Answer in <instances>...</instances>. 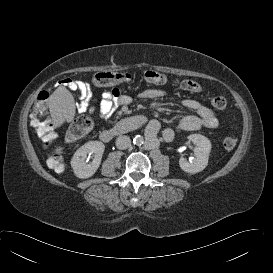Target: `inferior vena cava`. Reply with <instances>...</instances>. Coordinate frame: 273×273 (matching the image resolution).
Instances as JSON below:
<instances>
[{
  "label": "inferior vena cava",
  "instance_id": "602c4592",
  "mask_svg": "<svg viewBox=\"0 0 273 273\" xmlns=\"http://www.w3.org/2000/svg\"><path fill=\"white\" fill-rule=\"evenodd\" d=\"M116 146L118 149L124 150L131 146V140L129 136L120 135L116 139Z\"/></svg>",
  "mask_w": 273,
  "mask_h": 273
}]
</instances>
